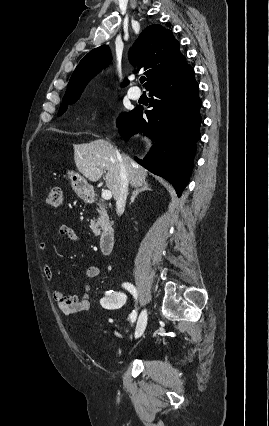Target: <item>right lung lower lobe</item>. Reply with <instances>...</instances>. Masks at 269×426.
Instances as JSON below:
<instances>
[{"instance_id": "98d812e1", "label": "right lung lower lobe", "mask_w": 269, "mask_h": 426, "mask_svg": "<svg viewBox=\"0 0 269 426\" xmlns=\"http://www.w3.org/2000/svg\"><path fill=\"white\" fill-rule=\"evenodd\" d=\"M198 89L194 70L187 65L147 89L155 98L149 105L153 109L145 112L146 119L142 117L143 108L136 107L117 126L125 140L138 132L152 138L153 147L145 158L135 159L172 183L178 196L189 182L196 142L200 139L202 102Z\"/></svg>"}]
</instances>
